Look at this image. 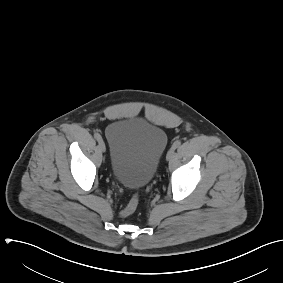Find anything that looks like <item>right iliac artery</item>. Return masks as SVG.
Instances as JSON below:
<instances>
[{"instance_id":"82829eb1","label":"right iliac artery","mask_w":283,"mask_h":283,"mask_svg":"<svg viewBox=\"0 0 283 283\" xmlns=\"http://www.w3.org/2000/svg\"><path fill=\"white\" fill-rule=\"evenodd\" d=\"M94 137L97 141H100L101 140V135L99 133H95L94 134Z\"/></svg>"}]
</instances>
